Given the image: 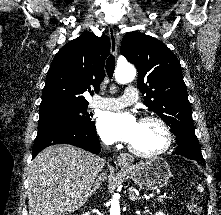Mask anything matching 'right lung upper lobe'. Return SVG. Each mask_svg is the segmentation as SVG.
I'll return each mask as SVG.
<instances>
[{
  "instance_id": "right-lung-upper-lobe-1",
  "label": "right lung upper lobe",
  "mask_w": 221,
  "mask_h": 215,
  "mask_svg": "<svg viewBox=\"0 0 221 215\" xmlns=\"http://www.w3.org/2000/svg\"><path fill=\"white\" fill-rule=\"evenodd\" d=\"M109 51L108 36L97 37L91 32L64 45L48 70L40 116L88 106L83 93L99 91Z\"/></svg>"
}]
</instances>
